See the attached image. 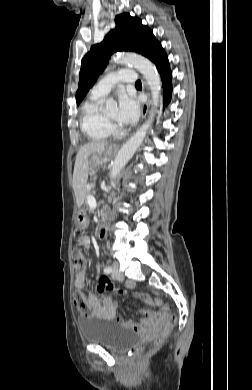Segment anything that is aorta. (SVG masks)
<instances>
[{"instance_id":"762f6f07","label":"aorta","mask_w":252,"mask_h":390,"mask_svg":"<svg viewBox=\"0 0 252 390\" xmlns=\"http://www.w3.org/2000/svg\"><path fill=\"white\" fill-rule=\"evenodd\" d=\"M113 61L117 63H124L132 65L136 68L145 78L152 96L153 108L149 113L148 119L145 123L137 130V132L122 146L119 150L112 169L110 171V180L111 182L117 177L122 168L126 163L131 159L137 148L142 144L144 138L146 137L147 130L150 128L153 119H154V108L159 102V94L161 90V80L160 76L156 70V67L145 57L133 53L117 55L112 58ZM115 102L112 100L106 101V106H114Z\"/></svg>"}]
</instances>
